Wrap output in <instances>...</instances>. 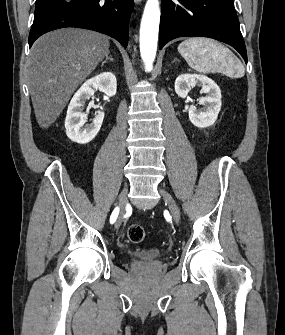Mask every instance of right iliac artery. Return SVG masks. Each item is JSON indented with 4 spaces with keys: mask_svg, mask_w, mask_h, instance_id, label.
<instances>
[{
    "mask_svg": "<svg viewBox=\"0 0 285 335\" xmlns=\"http://www.w3.org/2000/svg\"><path fill=\"white\" fill-rule=\"evenodd\" d=\"M118 214H119V208L116 207V208L113 210V212H112V214H111V217H110V223H111V224H113V223L116 221V219H117V217H118Z\"/></svg>",
    "mask_w": 285,
    "mask_h": 335,
    "instance_id": "right-iliac-artery-1",
    "label": "right iliac artery"
}]
</instances>
